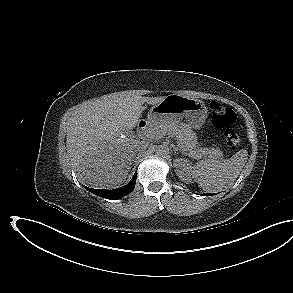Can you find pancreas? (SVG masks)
<instances>
[{
  "label": "pancreas",
  "mask_w": 293,
  "mask_h": 293,
  "mask_svg": "<svg viewBox=\"0 0 293 293\" xmlns=\"http://www.w3.org/2000/svg\"><path fill=\"white\" fill-rule=\"evenodd\" d=\"M166 134L176 136L177 143L182 152L194 159H201L202 157L220 158L223 155V152L219 149L199 147L195 133L185 123L156 124L149 128L147 137L150 140H159Z\"/></svg>",
  "instance_id": "1"
}]
</instances>
